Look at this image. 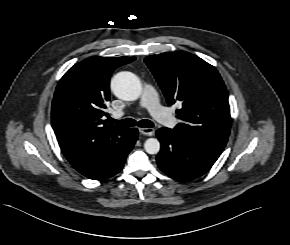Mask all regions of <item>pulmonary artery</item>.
Segmentation results:
<instances>
[{
    "instance_id": "e3ab8cb5",
    "label": "pulmonary artery",
    "mask_w": 290,
    "mask_h": 245,
    "mask_svg": "<svg viewBox=\"0 0 290 245\" xmlns=\"http://www.w3.org/2000/svg\"><path fill=\"white\" fill-rule=\"evenodd\" d=\"M140 105L146 107L150 114L161 124L166 127L173 128L176 125V119L174 115L166 108L162 107L159 103L157 93L153 86L150 84H145L141 99ZM113 117L120 118L124 115V112L114 111L112 113Z\"/></svg>"
}]
</instances>
